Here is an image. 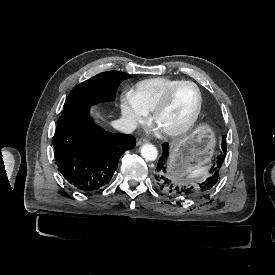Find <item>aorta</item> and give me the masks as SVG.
<instances>
[{
  "label": "aorta",
  "instance_id": "762f6f07",
  "mask_svg": "<svg viewBox=\"0 0 275 275\" xmlns=\"http://www.w3.org/2000/svg\"><path fill=\"white\" fill-rule=\"evenodd\" d=\"M141 156L146 161H155L158 157V150L152 144H145L141 148Z\"/></svg>",
  "mask_w": 275,
  "mask_h": 275
}]
</instances>
